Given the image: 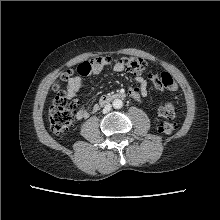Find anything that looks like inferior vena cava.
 I'll return each instance as SVG.
<instances>
[{"label":"inferior vena cava","mask_w":220,"mask_h":220,"mask_svg":"<svg viewBox=\"0 0 220 220\" xmlns=\"http://www.w3.org/2000/svg\"><path fill=\"white\" fill-rule=\"evenodd\" d=\"M111 104H106L105 107L103 108V113L106 114L111 110Z\"/></svg>","instance_id":"1"}]
</instances>
